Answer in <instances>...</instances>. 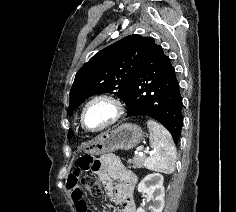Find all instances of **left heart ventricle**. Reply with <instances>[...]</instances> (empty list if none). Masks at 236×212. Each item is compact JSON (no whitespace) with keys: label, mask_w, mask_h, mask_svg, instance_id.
I'll return each instance as SVG.
<instances>
[{"label":"left heart ventricle","mask_w":236,"mask_h":212,"mask_svg":"<svg viewBox=\"0 0 236 212\" xmlns=\"http://www.w3.org/2000/svg\"><path fill=\"white\" fill-rule=\"evenodd\" d=\"M111 115V108L106 103H95L91 105L84 117L85 125L89 128H98L104 124Z\"/></svg>","instance_id":"obj_1"}]
</instances>
